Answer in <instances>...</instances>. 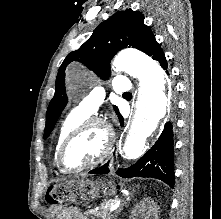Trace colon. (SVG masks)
<instances>
[{
	"label": "colon",
	"instance_id": "5ec220e1",
	"mask_svg": "<svg viewBox=\"0 0 221 219\" xmlns=\"http://www.w3.org/2000/svg\"><path fill=\"white\" fill-rule=\"evenodd\" d=\"M52 193L55 196H52ZM64 194H68L66 190L61 186H56L47 194V199L52 204L65 206V205H68L71 199H64Z\"/></svg>",
	"mask_w": 221,
	"mask_h": 219
}]
</instances>
